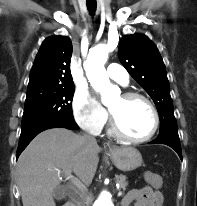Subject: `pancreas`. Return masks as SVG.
<instances>
[{
  "label": "pancreas",
  "instance_id": "obj_1",
  "mask_svg": "<svg viewBox=\"0 0 197 206\" xmlns=\"http://www.w3.org/2000/svg\"><path fill=\"white\" fill-rule=\"evenodd\" d=\"M116 183H119L120 187L123 190H126V187L128 186V182L126 181L125 175H117L116 176ZM88 199L87 195H82L76 202V206H85L86 200Z\"/></svg>",
  "mask_w": 197,
  "mask_h": 206
}]
</instances>
